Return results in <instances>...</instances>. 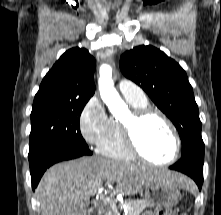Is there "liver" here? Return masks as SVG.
<instances>
[{
  "mask_svg": "<svg viewBox=\"0 0 221 215\" xmlns=\"http://www.w3.org/2000/svg\"><path fill=\"white\" fill-rule=\"evenodd\" d=\"M155 181L177 187H188L191 181L185 176L167 170L118 162L101 157H84L52 166L43 175L36 193L42 215H87L90 196L94 190L110 188L113 193L134 195Z\"/></svg>",
  "mask_w": 221,
  "mask_h": 215,
  "instance_id": "liver-1",
  "label": "liver"
}]
</instances>
